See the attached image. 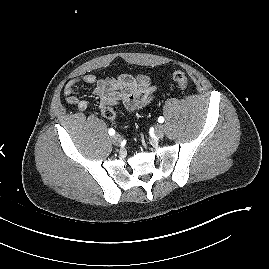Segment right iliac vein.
<instances>
[{
  "label": "right iliac vein",
  "instance_id": "right-iliac-vein-1",
  "mask_svg": "<svg viewBox=\"0 0 269 269\" xmlns=\"http://www.w3.org/2000/svg\"><path fill=\"white\" fill-rule=\"evenodd\" d=\"M111 140L113 142V144L115 145H119L121 143V136L119 134H115L111 137Z\"/></svg>",
  "mask_w": 269,
  "mask_h": 269
}]
</instances>
